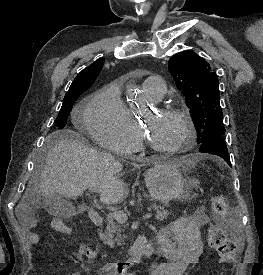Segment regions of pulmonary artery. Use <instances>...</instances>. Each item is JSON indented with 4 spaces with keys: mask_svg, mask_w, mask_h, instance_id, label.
Listing matches in <instances>:
<instances>
[{
    "mask_svg": "<svg viewBox=\"0 0 263 275\" xmlns=\"http://www.w3.org/2000/svg\"><path fill=\"white\" fill-rule=\"evenodd\" d=\"M143 89L152 100H160L166 91L165 82L160 76H149L143 83Z\"/></svg>",
    "mask_w": 263,
    "mask_h": 275,
    "instance_id": "e3ab8cb5",
    "label": "pulmonary artery"
}]
</instances>
